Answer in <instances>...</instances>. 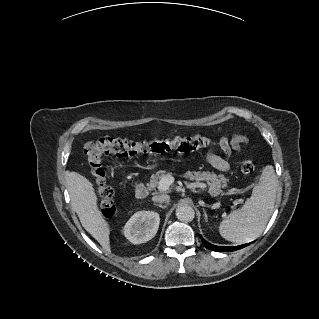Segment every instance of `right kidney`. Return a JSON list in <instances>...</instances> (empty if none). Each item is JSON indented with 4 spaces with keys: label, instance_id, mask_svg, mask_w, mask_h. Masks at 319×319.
I'll return each instance as SVG.
<instances>
[{
    "label": "right kidney",
    "instance_id": "right-kidney-1",
    "mask_svg": "<svg viewBox=\"0 0 319 319\" xmlns=\"http://www.w3.org/2000/svg\"><path fill=\"white\" fill-rule=\"evenodd\" d=\"M160 217L154 211L136 212L125 224L123 233L133 244L151 240L157 233Z\"/></svg>",
    "mask_w": 319,
    "mask_h": 319
}]
</instances>
